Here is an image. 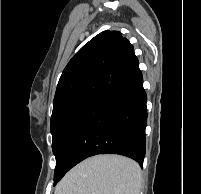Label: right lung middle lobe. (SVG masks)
I'll return each instance as SVG.
<instances>
[{"label": "right lung middle lobe", "mask_w": 201, "mask_h": 194, "mask_svg": "<svg viewBox=\"0 0 201 194\" xmlns=\"http://www.w3.org/2000/svg\"><path fill=\"white\" fill-rule=\"evenodd\" d=\"M97 96H82L70 99L53 107L51 116V134L53 153L58 147L63 132L71 120L86 108Z\"/></svg>", "instance_id": "obj_1"}]
</instances>
